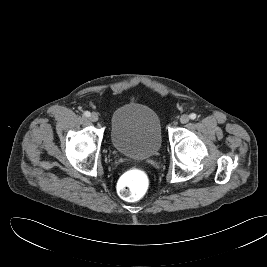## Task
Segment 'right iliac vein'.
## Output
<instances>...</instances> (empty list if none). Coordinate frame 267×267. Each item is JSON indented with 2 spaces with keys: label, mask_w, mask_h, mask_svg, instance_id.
Here are the masks:
<instances>
[{
  "label": "right iliac vein",
  "mask_w": 267,
  "mask_h": 267,
  "mask_svg": "<svg viewBox=\"0 0 267 267\" xmlns=\"http://www.w3.org/2000/svg\"><path fill=\"white\" fill-rule=\"evenodd\" d=\"M89 119L92 121V122H97L99 117H98V114L93 112L90 116H89Z\"/></svg>",
  "instance_id": "obj_1"
}]
</instances>
